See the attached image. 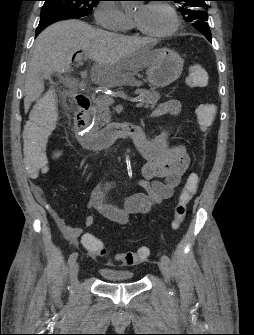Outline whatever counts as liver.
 I'll return each mask as SVG.
<instances>
[{
    "label": "liver",
    "instance_id": "1",
    "mask_svg": "<svg viewBox=\"0 0 254 335\" xmlns=\"http://www.w3.org/2000/svg\"><path fill=\"white\" fill-rule=\"evenodd\" d=\"M78 51L96 63L92 76L107 87L121 81L122 71L137 72L152 61L150 39L112 33L80 20L57 22L35 41L24 85L26 113L44 91V79L53 72H69Z\"/></svg>",
    "mask_w": 254,
    "mask_h": 335
}]
</instances>
